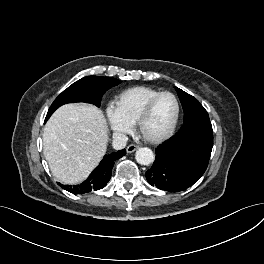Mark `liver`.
I'll return each mask as SVG.
<instances>
[{
	"label": "liver",
	"instance_id": "liver-1",
	"mask_svg": "<svg viewBox=\"0 0 264 264\" xmlns=\"http://www.w3.org/2000/svg\"><path fill=\"white\" fill-rule=\"evenodd\" d=\"M108 126L89 104H66L45 125L43 150L52 174L64 184L84 181L106 153Z\"/></svg>",
	"mask_w": 264,
	"mask_h": 264
}]
</instances>
